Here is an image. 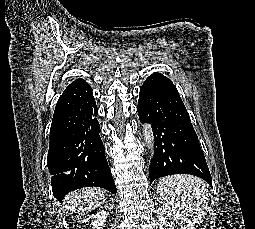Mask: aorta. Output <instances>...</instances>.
I'll return each mask as SVG.
<instances>
[{
	"mask_svg": "<svg viewBox=\"0 0 255 229\" xmlns=\"http://www.w3.org/2000/svg\"><path fill=\"white\" fill-rule=\"evenodd\" d=\"M143 135H144V140L146 144L148 145L149 149H153L154 137H153V130L150 124H144Z\"/></svg>",
	"mask_w": 255,
	"mask_h": 229,
	"instance_id": "762f6f07",
	"label": "aorta"
}]
</instances>
